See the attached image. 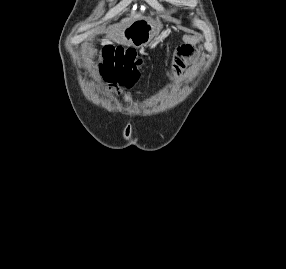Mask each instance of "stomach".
Wrapping results in <instances>:
<instances>
[{
	"label": "stomach",
	"mask_w": 286,
	"mask_h": 269,
	"mask_svg": "<svg viewBox=\"0 0 286 269\" xmlns=\"http://www.w3.org/2000/svg\"><path fill=\"white\" fill-rule=\"evenodd\" d=\"M161 28L160 23L140 19L132 22L121 33L112 36L111 39L135 48L146 47L157 40Z\"/></svg>",
	"instance_id": "obj_1"
}]
</instances>
